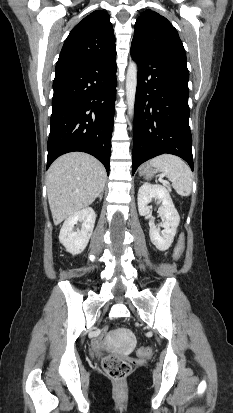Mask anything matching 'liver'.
Instances as JSON below:
<instances>
[{"mask_svg": "<svg viewBox=\"0 0 233 413\" xmlns=\"http://www.w3.org/2000/svg\"><path fill=\"white\" fill-rule=\"evenodd\" d=\"M105 169L93 156L71 152L57 158L47 173V196L55 225L89 206L103 191Z\"/></svg>", "mask_w": 233, "mask_h": 413, "instance_id": "6515ba94", "label": "liver"}]
</instances>
